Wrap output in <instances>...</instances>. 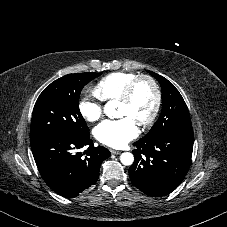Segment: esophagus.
Returning <instances> with one entry per match:
<instances>
[{
  "mask_svg": "<svg viewBox=\"0 0 227 227\" xmlns=\"http://www.w3.org/2000/svg\"><path fill=\"white\" fill-rule=\"evenodd\" d=\"M110 152L112 154H120L121 153V151H118V150H115V149H110Z\"/></svg>",
  "mask_w": 227,
  "mask_h": 227,
  "instance_id": "1",
  "label": "esophagus"
}]
</instances>
